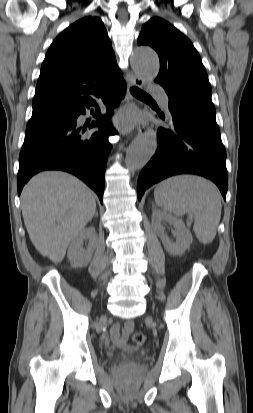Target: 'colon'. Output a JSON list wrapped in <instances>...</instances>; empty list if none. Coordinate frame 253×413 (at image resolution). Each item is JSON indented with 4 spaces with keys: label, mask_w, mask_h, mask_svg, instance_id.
Returning a JSON list of instances; mask_svg holds the SVG:
<instances>
[{
    "label": "colon",
    "mask_w": 253,
    "mask_h": 413,
    "mask_svg": "<svg viewBox=\"0 0 253 413\" xmlns=\"http://www.w3.org/2000/svg\"><path fill=\"white\" fill-rule=\"evenodd\" d=\"M135 344H143L146 341V335L142 332H135L132 337Z\"/></svg>",
    "instance_id": "5ec220e1"
}]
</instances>
